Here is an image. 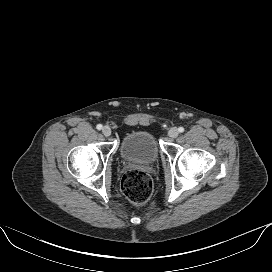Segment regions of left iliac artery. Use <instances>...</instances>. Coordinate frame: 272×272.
<instances>
[{
    "label": "left iliac artery",
    "instance_id": "obj_1",
    "mask_svg": "<svg viewBox=\"0 0 272 272\" xmlns=\"http://www.w3.org/2000/svg\"><path fill=\"white\" fill-rule=\"evenodd\" d=\"M178 131L182 133V132H184V128L183 127H179Z\"/></svg>",
    "mask_w": 272,
    "mask_h": 272
}]
</instances>
